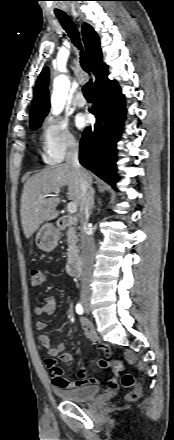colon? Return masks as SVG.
Masks as SVG:
<instances>
[{
  "instance_id": "5ec220e1",
  "label": "colon",
  "mask_w": 174,
  "mask_h": 440,
  "mask_svg": "<svg viewBox=\"0 0 174 440\" xmlns=\"http://www.w3.org/2000/svg\"><path fill=\"white\" fill-rule=\"evenodd\" d=\"M44 281H45V275L42 270L37 268L31 269L30 282L32 287H40L44 283ZM99 366L101 368H110L115 373H121L124 369V364L120 360H100ZM121 384L125 388L130 389L126 395V398L129 401H136L140 397L142 388L140 384L137 383L135 377L132 374L130 373L123 374L121 378ZM109 385L111 387H117L118 383L113 380H109Z\"/></svg>"
}]
</instances>
